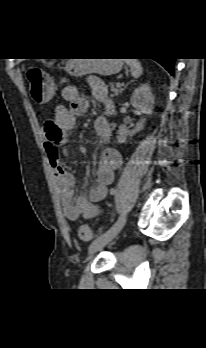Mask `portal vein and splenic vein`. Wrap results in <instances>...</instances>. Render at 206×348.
<instances>
[{"mask_svg": "<svg viewBox=\"0 0 206 348\" xmlns=\"http://www.w3.org/2000/svg\"><path fill=\"white\" fill-rule=\"evenodd\" d=\"M122 85H123V84H121V83H119V82L116 84L117 87H121Z\"/></svg>", "mask_w": 206, "mask_h": 348, "instance_id": "1", "label": "portal vein and splenic vein"}]
</instances>
